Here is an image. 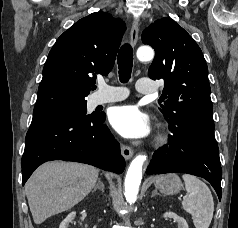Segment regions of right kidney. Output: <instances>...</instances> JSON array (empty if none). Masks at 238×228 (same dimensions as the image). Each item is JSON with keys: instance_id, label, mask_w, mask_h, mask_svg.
<instances>
[{"instance_id": "1", "label": "right kidney", "mask_w": 238, "mask_h": 228, "mask_svg": "<svg viewBox=\"0 0 238 228\" xmlns=\"http://www.w3.org/2000/svg\"><path fill=\"white\" fill-rule=\"evenodd\" d=\"M76 212H71L60 224L59 228H68L69 224L74 220Z\"/></svg>"}]
</instances>
